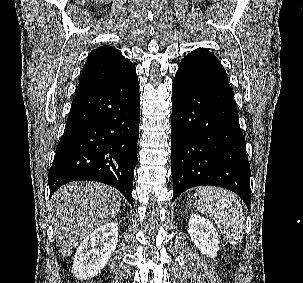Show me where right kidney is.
Listing matches in <instances>:
<instances>
[{
  "mask_svg": "<svg viewBox=\"0 0 303 283\" xmlns=\"http://www.w3.org/2000/svg\"><path fill=\"white\" fill-rule=\"evenodd\" d=\"M118 242V226L106 223L90 233L79 245L74 261L73 274L78 279H90L101 272Z\"/></svg>",
  "mask_w": 303,
  "mask_h": 283,
  "instance_id": "right-kidney-1",
  "label": "right kidney"
}]
</instances>
